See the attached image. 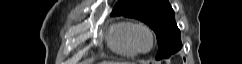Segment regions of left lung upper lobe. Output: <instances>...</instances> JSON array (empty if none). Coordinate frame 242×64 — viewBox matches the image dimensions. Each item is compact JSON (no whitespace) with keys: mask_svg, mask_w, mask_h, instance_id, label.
Listing matches in <instances>:
<instances>
[{"mask_svg":"<svg viewBox=\"0 0 242 64\" xmlns=\"http://www.w3.org/2000/svg\"><path fill=\"white\" fill-rule=\"evenodd\" d=\"M111 15H123L148 24L157 36V60L168 58L182 48L180 30L168 0H119Z\"/></svg>","mask_w":242,"mask_h":64,"instance_id":"5c2ea615","label":"left lung upper lobe"}]
</instances>
